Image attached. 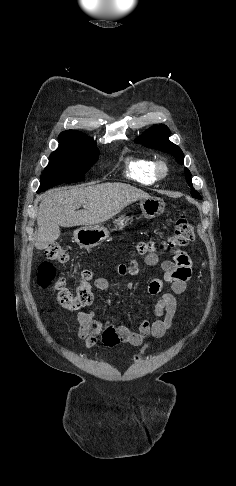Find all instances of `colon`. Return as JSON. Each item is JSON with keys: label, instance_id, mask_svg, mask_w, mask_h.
Instances as JSON below:
<instances>
[{"label": "colon", "instance_id": "colon-1", "mask_svg": "<svg viewBox=\"0 0 236 486\" xmlns=\"http://www.w3.org/2000/svg\"><path fill=\"white\" fill-rule=\"evenodd\" d=\"M193 238L192 224L187 216L181 215L175 222L172 235L164 241L163 245L168 248L183 247L188 245ZM155 250L156 244L153 241L140 242L137 245V252L140 255L153 254ZM45 258L38 269V282L43 287L50 285L55 277L53 262L65 263L68 260V253L60 244L53 243L46 248ZM91 277V272L84 270L81 274V281L74 290H70L64 280H58L54 285L58 304L72 312L90 305L93 300Z\"/></svg>", "mask_w": 236, "mask_h": 486}]
</instances>
